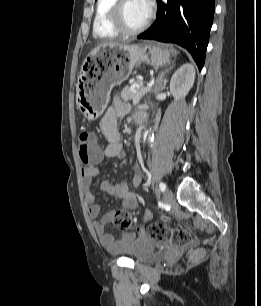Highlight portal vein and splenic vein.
<instances>
[{"label":"portal vein and splenic vein","instance_id":"1","mask_svg":"<svg viewBox=\"0 0 261 306\" xmlns=\"http://www.w3.org/2000/svg\"><path fill=\"white\" fill-rule=\"evenodd\" d=\"M152 85H153V83H149V84L147 85V87L143 90V93L149 91V89L151 88ZM140 98H141L140 96L135 97V98L133 99V104L136 105V104L139 102Z\"/></svg>","mask_w":261,"mask_h":306}]
</instances>
